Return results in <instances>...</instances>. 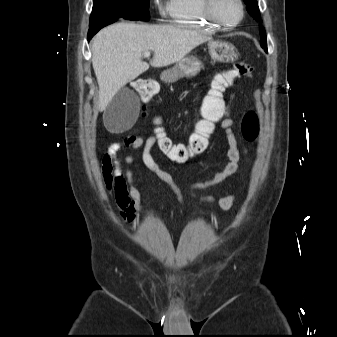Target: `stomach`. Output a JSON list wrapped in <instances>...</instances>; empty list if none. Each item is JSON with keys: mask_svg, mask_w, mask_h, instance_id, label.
Instances as JSON below:
<instances>
[{"mask_svg": "<svg viewBox=\"0 0 337 337\" xmlns=\"http://www.w3.org/2000/svg\"><path fill=\"white\" fill-rule=\"evenodd\" d=\"M209 54L212 59L221 62L234 61L237 58L235 47L225 41H210L208 43ZM203 67L201 60L194 55H187L174 67L163 71L161 79L165 82H175L180 78L196 76Z\"/></svg>", "mask_w": 337, "mask_h": 337, "instance_id": "stomach-1", "label": "stomach"}]
</instances>
